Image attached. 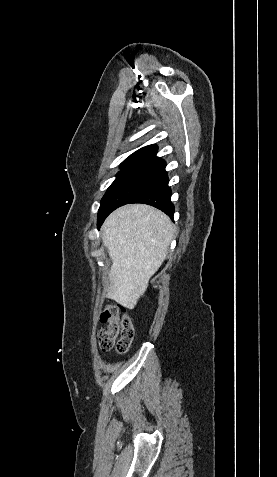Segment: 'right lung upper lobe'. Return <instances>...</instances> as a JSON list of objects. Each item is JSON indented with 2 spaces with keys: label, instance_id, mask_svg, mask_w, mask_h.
Instances as JSON below:
<instances>
[{
  "label": "right lung upper lobe",
  "instance_id": "right-lung-upper-lobe-1",
  "mask_svg": "<svg viewBox=\"0 0 277 477\" xmlns=\"http://www.w3.org/2000/svg\"><path fill=\"white\" fill-rule=\"evenodd\" d=\"M157 146L148 145L145 146L128 158H126L122 164L121 168L125 167H145V168H159L163 169L166 165L165 161L156 156Z\"/></svg>",
  "mask_w": 277,
  "mask_h": 477
}]
</instances>
